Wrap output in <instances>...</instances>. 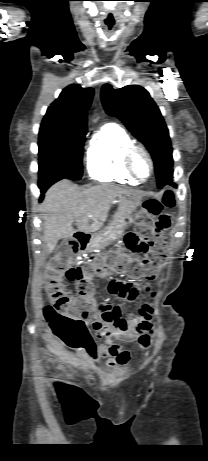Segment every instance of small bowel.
I'll return each instance as SVG.
<instances>
[{
  "mask_svg": "<svg viewBox=\"0 0 208 461\" xmlns=\"http://www.w3.org/2000/svg\"><path fill=\"white\" fill-rule=\"evenodd\" d=\"M124 221L129 219L127 214L122 216ZM103 273L101 276H104ZM144 291L149 293V286H141L135 281L111 280L107 285V292L126 301H134ZM151 305H143L137 314L123 316L118 306L102 303L96 307L93 317L86 319L88 328L96 332L98 339L103 343L96 345L95 341L81 348L92 360L105 358L109 366H125L130 360V351L122 349L113 339L132 342L144 332V324H150L153 316Z\"/></svg>",
  "mask_w": 208,
  "mask_h": 461,
  "instance_id": "small-bowel-1",
  "label": "small bowel"
}]
</instances>
